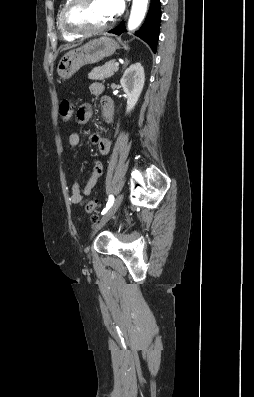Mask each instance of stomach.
Listing matches in <instances>:
<instances>
[{"instance_id": "obj_1", "label": "stomach", "mask_w": 254, "mask_h": 397, "mask_svg": "<svg viewBox=\"0 0 254 397\" xmlns=\"http://www.w3.org/2000/svg\"><path fill=\"white\" fill-rule=\"evenodd\" d=\"M118 48V43L111 37L93 39L79 48L68 51L59 61L57 73L60 78L69 79L81 67L98 63L114 54Z\"/></svg>"}]
</instances>
